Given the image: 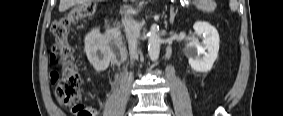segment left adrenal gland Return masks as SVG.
Masks as SVG:
<instances>
[{"instance_id":"left-adrenal-gland-1","label":"left adrenal gland","mask_w":283,"mask_h":116,"mask_svg":"<svg viewBox=\"0 0 283 116\" xmlns=\"http://www.w3.org/2000/svg\"><path fill=\"white\" fill-rule=\"evenodd\" d=\"M177 12L178 10L174 11V8L171 6L170 8V23L171 24H173Z\"/></svg>"}]
</instances>
